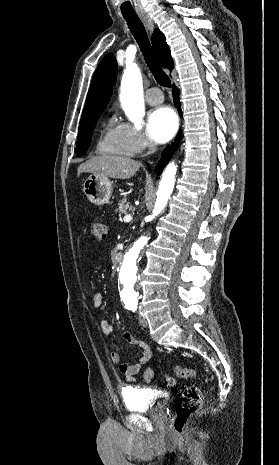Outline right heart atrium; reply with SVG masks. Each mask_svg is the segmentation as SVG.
<instances>
[{"label": "right heart atrium", "instance_id": "d8ad5b80", "mask_svg": "<svg viewBox=\"0 0 279 465\" xmlns=\"http://www.w3.org/2000/svg\"><path fill=\"white\" fill-rule=\"evenodd\" d=\"M127 143L133 154L141 153L152 146L146 135L130 124H123Z\"/></svg>", "mask_w": 279, "mask_h": 465}]
</instances>
